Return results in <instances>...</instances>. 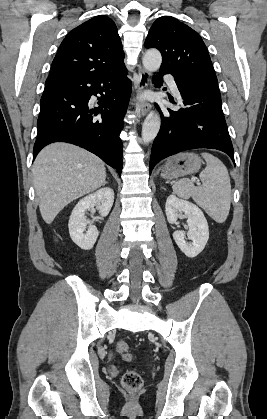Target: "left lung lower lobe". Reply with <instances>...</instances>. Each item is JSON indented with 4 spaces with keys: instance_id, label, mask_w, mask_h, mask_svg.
I'll return each mask as SVG.
<instances>
[{
    "instance_id": "1",
    "label": "left lung lower lobe",
    "mask_w": 267,
    "mask_h": 419,
    "mask_svg": "<svg viewBox=\"0 0 267 419\" xmlns=\"http://www.w3.org/2000/svg\"><path fill=\"white\" fill-rule=\"evenodd\" d=\"M168 73L160 70L153 77L152 82L156 87L162 85V76ZM172 75L182 98V107L178 110L167 108L162 111L155 104L161 115V128L153 143L150 172L160 160L195 148L223 151L234 162V150L222 111L218 85Z\"/></svg>"
}]
</instances>
